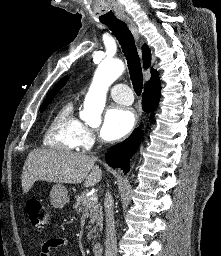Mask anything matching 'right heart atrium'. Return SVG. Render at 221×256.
<instances>
[{
	"mask_svg": "<svg viewBox=\"0 0 221 256\" xmlns=\"http://www.w3.org/2000/svg\"><path fill=\"white\" fill-rule=\"evenodd\" d=\"M76 137L77 146L86 150L91 149L97 141L95 130L82 122L79 123Z\"/></svg>",
	"mask_w": 221,
	"mask_h": 256,
	"instance_id": "1",
	"label": "right heart atrium"
}]
</instances>
